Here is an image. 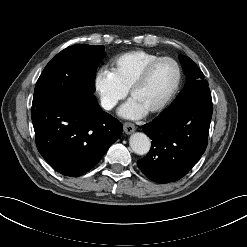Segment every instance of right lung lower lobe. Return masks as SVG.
Masks as SVG:
<instances>
[{
	"label": "right lung lower lobe",
	"mask_w": 247,
	"mask_h": 247,
	"mask_svg": "<svg viewBox=\"0 0 247 247\" xmlns=\"http://www.w3.org/2000/svg\"><path fill=\"white\" fill-rule=\"evenodd\" d=\"M36 146L45 161L65 176L92 169L122 135V124L98 103H76L62 94L32 105Z\"/></svg>",
	"instance_id": "98d812e1"
}]
</instances>
